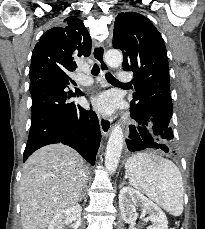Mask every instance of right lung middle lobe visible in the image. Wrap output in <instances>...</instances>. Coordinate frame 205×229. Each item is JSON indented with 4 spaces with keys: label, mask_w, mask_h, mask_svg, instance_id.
<instances>
[{
    "label": "right lung middle lobe",
    "mask_w": 205,
    "mask_h": 229,
    "mask_svg": "<svg viewBox=\"0 0 205 229\" xmlns=\"http://www.w3.org/2000/svg\"><path fill=\"white\" fill-rule=\"evenodd\" d=\"M57 80L63 82L64 84H69V82L71 81L69 76L66 75H56L54 76Z\"/></svg>",
    "instance_id": "obj_1"
}]
</instances>
